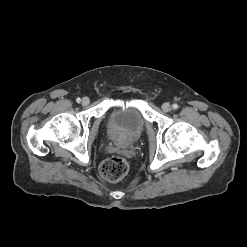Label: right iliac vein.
Instances as JSON below:
<instances>
[{"label":"right iliac vein","mask_w":247,"mask_h":247,"mask_svg":"<svg viewBox=\"0 0 247 247\" xmlns=\"http://www.w3.org/2000/svg\"><path fill=\"white\" fill-rule=\"evenodd\" d=\"M90 103V99L88 97H83L81 104L83 106H87Z\"/></svg>","instance_id":"63e3f726"}]
</instances>
